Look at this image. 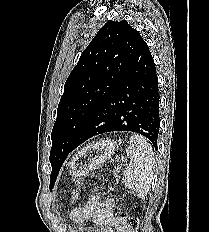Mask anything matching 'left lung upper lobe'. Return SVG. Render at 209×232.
<instances>
[{
	"instance_id": "1",
	"label": "left lung upper lobe",
	"mask_w": 209,
	"mask_h": 232,
	"mask_svg": "<svg viewBox=\"0 0 209 232\" xmlns=\"http://www.w3.org/2000/svg\"><path fill=\"white\" fill-rule=\"evenodd\" d=\"M141 38L127 21L110 20L81 54L66 80L51 134V184L71 152L79 130L129 68Z\"/></svg>"
}]
</instances>
